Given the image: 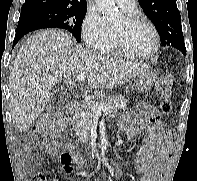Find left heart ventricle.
Segmentation results:
<instances>
[{
    "instance_id": "1",
    "label": "left heart ventricle",
    "mask_w": 197,
    "mask_h": 181,
    "mask_svg": "<svg viewBox=\"0 0 197 181\" xmlns=\"http://www.w3.org/2000/svg\"><path fill=\"white\" fill-rule=\"evenodd\" d=\"M114 33L136 54L150 52L154 44L153 33L145 24H129L124 20L114 29Z\"/></svg>"
}]
</instances>
